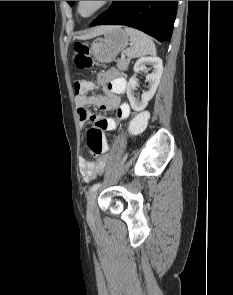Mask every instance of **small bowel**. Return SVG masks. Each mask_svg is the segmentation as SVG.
Masks as SVG:
<instances>
[{
  "label": "small bowel",
  "mask_w": 233,
  "mask_h": 295,
  "mask_svg": "<svg viewBox=\"0 0 233 295\" xmlns=\"http://www.w3.org/2000/svg\"><path fill=\"white\" fill-rule=\"evenodd\" d=\"M99 82L105 87L106 94L98 96H86L77 94L75 104L77 113L82 124L89 121L102 131H112L117 127L118 121L125 120L130 116V106L122 103L120 95L125 93L127 81L116 69H110L99 77ZM96 106L102 112L116 111L117 120L113 118L100 117L93 114L88 106ZM107 158L98 157L95 160H88L84 157L79 159V170L82 179L89 182L104 171Z\"/></svg>",
  "instance_id": "obj_1"
}]
</instances>
